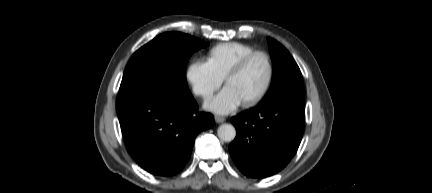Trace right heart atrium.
I'll use <instances>...</instances> for the list:
<instances>
[{"label": "right heart atrium", "instance_id": "obj_1", "mask_svg": "<svg viewBox=\"0 0 432 193\" xmlns=\"http://www.w3.org/2000/svg\"><path fill=\"white\" fill-rule=\"evenodd\" d=\"M186 77L193 93L203 99L211 98L222 83L205 61L192 62L187 68Z\"/></svg>", "mask_w": 432, "mask_h": 193}]
</instances>
